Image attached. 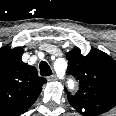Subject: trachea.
Returning a JSON list of instances; mask_svg holds the SVG:
<instances>
[{
  "instance_id": "3493384b",
  "label": "trachea",
  "mask_w": 116,
  "mask_h": 116,
  "mask_svg": "<svg viewBox=\"0 0 116 116\" xmlns=\"http://www.w3.org/2000/svg\"><path fill=\"white\" fill-rule=\"evenodd\" d=\"M39 67H40L41 76H50V75H52V70L49 67L47 62L41 61Z\"/></svg>"
}]
</instances>
